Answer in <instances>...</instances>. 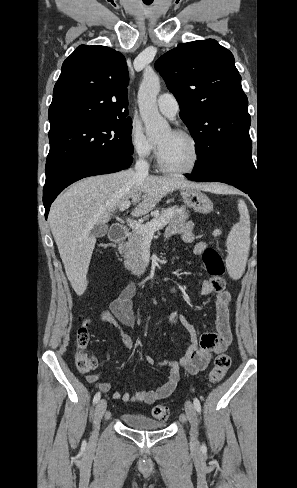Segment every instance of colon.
<instances>
[{
	"instance_id": "obj_1",
	"label": "colon",
	"mask_w": 297,
	"mask_h": 488,
	"mask_svg": "<svg viewBox=\"0 0 297 488\" xmlns=\"http://www.w3.org/2000/svg\"><path fill=\"white\" fill-rule=\"evenodd\" d=\"M100 247L108 249L111 247L109 243H102ZM203 261L207 272L211 277L213 288L217 292H224L226 289V281L223 277L225 267L220 254L214 249H206L203 253ZM88 319H82L81 324L76 333V355L75 364L79 371L88 373L96 366V361L87 351L86 347L89 341L88 333ZM231 358L228 353L221 352L214 359L210 374L209 382L216 384L224 377L229 369ZM152 416L159 420H165L169 416V410L163 405H156L152 408Z\"/></svg>"
}]
</instances>
